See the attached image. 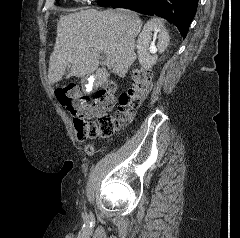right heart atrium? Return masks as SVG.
I'll return each instance as SVG.
<instances>
[{
  "instance_id": "right-heart-atrium-1",
  "label": "right heart atrium",
  "mask_w": 240,
  "mask_h": 238,
  "mask_svg": "<svg viewBox=\"0 0 240 238\" xmlns=\"http://www.w3.org/2000/svg\"><path fill=\"white\" fill-rule=\"evenodd\" d=\"M76 1H79V2H89L90 0H76Z\"/></svg>"
}]
</instances>
